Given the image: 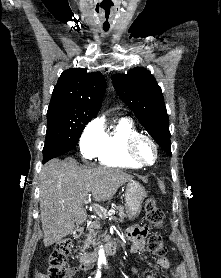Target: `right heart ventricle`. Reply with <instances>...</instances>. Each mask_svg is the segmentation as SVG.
<instances>
[{
	"mask_svg": "<svg viewBox=\"0 0 221 278\" xmlns=\"http://www.w3.org/2000/svg\"><path fill=\"white\" fill-rule=\"evenodd\" d=\"M136 134L138 131L133 122L121 118L114 127L104 131L103 141L96 155L98 162L111 167L139 168L125 154L128 139Z\"/></svg>",
	"mask_w": 221,
	"mask_h": 278,
	"instance_id": "right-heart-ventricle-1",
	"label": "right heart ventricle"
}]
</instances>
